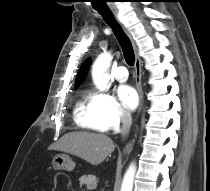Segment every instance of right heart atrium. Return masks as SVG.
Returning a JSON list of instances; mask_svg holds the SVG:
<instances>
[{"mask_svg": "<svg viewBox=\"0 0 210 191\" xmlns=\"http://www.w3.org/2000/svg\"><path fill=\"white\" fill-rule=\"evenodd\" d=\"M91 103L95 113L106 130H118L128 123L130 116L120 103L110 94L94 93Z\"/></svg>", "mask_w": 210, "mask_h": 191, "instance_id": "right-heart-atrium-1", "label": "right heart atrium"}]
</instances>
